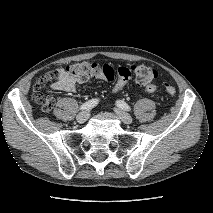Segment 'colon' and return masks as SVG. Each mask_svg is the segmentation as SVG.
<instances>
[{
  "label": "colon",
  "instance_id": "1",
  "mask_svg": "<svg viewBox=\"0 0 213 213\" xmlns=\"http://www.w3.org/2000/svg\"><path fill=\"white\" fill-rule=\"evenodd\" d=\"M68 74L71 75L78 82H87L97 79H105L107 81H115V93L119 92L126 82L133 78L134 81L143 87H150L158 78V72L155 68L145 64H133L128 66H120L114 69L108 64H97L91 62H79L72 64L67 69ZM51 79V75H45L34 85L32 91L33 100L38 103L41 110L49 111L53 105V98L44 92L46 83ZM165 90L170 95L176 94V89L164 84Z\"/></svg>",
  "mask_w": 213,
  "mask_h": 213
}]
</instances>
